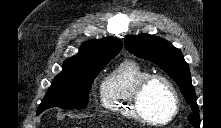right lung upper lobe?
<instances>
[{"mask_svg":"<svg viewBox=\"0 0 221 128\" xmlns=\"http://www.w3.org/2000/svg\"><path fill=\"white\" fill-rule=\"evenodd\" d=\"M122 46V42L114 37L94 43H86L76 56L64 62L61 73L70 72L89 64L100 63L110 56L117 55L122 49Z\"/></svg>","mask_w":221,"mask_h":128,"instance_id":"cb5924a9","label":"right lung upper lobe"}]
</instances>
